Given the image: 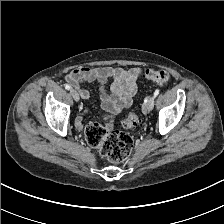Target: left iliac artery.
<instances>
[{
	"label": "left iliac artery",
	"mask_w": 224,
	"mask_h": 224,
	"mask_svg": "<svg viewBox=\"0 0 224 224\" xmlns=\"http://www.w3.org/2000/svg\"><path fill=\"white\" fill-rule=\"evenodd\" d=\"M159 92H160L159 89H156L155 90V92H154V98L158 96Z\"/></svg>",
	"instance_id": "1"
}]
</instances>
